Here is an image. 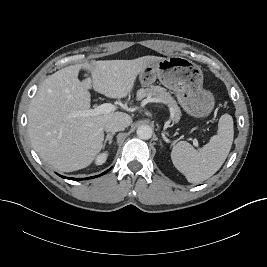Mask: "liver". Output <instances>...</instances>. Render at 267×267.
<instances>
[{"label": "liver", "mask_w": 267, "mask_h": 267, "mask_svg": "<svg viewBox=\"0 0 267 267\" xmlns=\"http://www.w3.org/2000/svg\"><path fill=\"white\" fill-rule=\"evenodd\" d=\"M161 57L96 61L86 67L92 80L78 79L80 65L60 69L39 87L28 110V135L40 158L61 172L89 166L103 148L104 124L132 118L123 112L83 117L90 110L89 89L109 98H124L133 90L137 75Z\"/></svg>", "instance_id": "obj_1"}]
</instances>
